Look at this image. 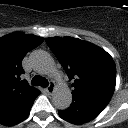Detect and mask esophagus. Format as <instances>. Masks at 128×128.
I'll use <instances>...</instances> for the list:
<instances>
[{"instance_id":"1","label":"esophagus","mask_w":128,"mask_h":128,"mask_svg":"<svg viewBox=\"0 0 128 128\" xmlns=\"http://www.w3.org/2000/svg\"><path fill=\"white\" fill-rule=\"evenodd\" d=\"M54 90H55V83L50 82V84L46 88V91H47V93L52 94L54 92Z\"/></svg>"}]
</instances>
